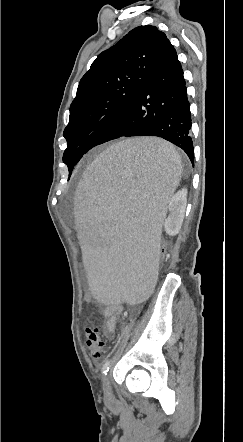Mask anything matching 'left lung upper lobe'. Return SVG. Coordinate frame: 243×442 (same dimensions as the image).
I'll return each instance as SVG.
<instances>
[{
  "label": "left lung upper lobe",
  "mask_w": 243,
  "mask_h": 442,
  "mask_svg": "<svg viewBox=\"0 0 243 442\" xmlns=\"http://www.w3.org/2000/svg\"><path fill=\"white\" fill-rule=\"evenodd\" d=\"M169 40L154 26L131 30L102 52L82 77L64 130L63 162L74 165L100 144L124 114Z\"/></svg>",
  "instance_id": "left-lung-upper-lobe-1"
}]
</instances>
